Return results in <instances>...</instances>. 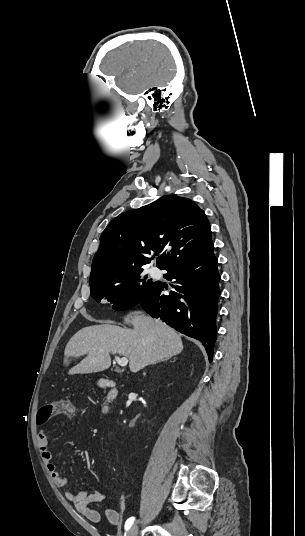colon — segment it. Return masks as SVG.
<instances>
[{"label": "colon", "mask_w": 305, "mask_h": 536, "mask_svg": "<svg viewBox=\"0 0 305 536\" xmlns=\"http://www.w3.org/2000/svg\"><path fill=\"white\" fill-rule=\"evenodd\" d=\"M74 413L73 404L68 400H58L46 406L42 411H38L35 420L36 425L53 422L54 415L72 416Z\"/></svg>", "instance_id": "1"}]
</instances>
